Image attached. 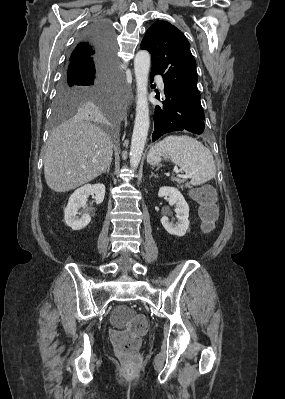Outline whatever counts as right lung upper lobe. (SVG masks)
Wrapping results in <instances>:
<instances>
[{
	"instance_id": "cb5924a9",
	"label": "right lung upper lobe",
	"mask_w": 285,
	"mask_h": 399,
	"mask_svg": "<svg viewBox=\"0 0 285 399\" xmlns=\"http://www.w3.org/2000/svg\"><path fill=\"white\" fill-rule=\"evenodd\" d=\"M96 48L90 40H81L73 50L70 61H77L82 59H91L96 55Z\"/></svg>"
}]
</instances>
